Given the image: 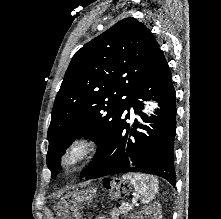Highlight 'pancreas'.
I'll use <instances>...</instances> for the list:
<instances>
[{
    "instance_id": "cf45deb5",
    "label": "pancreas",
    "mask_w": 221,
    "mask_h": 219,
    "mask_svg": "<svg viewBox=\"0 0 221 219\" xmlns=\"http://www.w3.org/2000/svg\"><path fill=\"white\" fill-rule=\"evenodd\" d=\"M131 210V206H121L119 208H114L110 212V218L109 219H118L120 215L127 214Z\"/></svg>"
}]
</instances>
